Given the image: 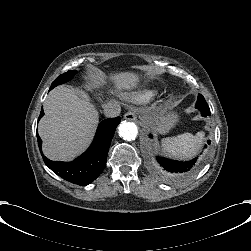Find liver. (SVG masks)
<instances>
[{
    "mask_svg": "<svg viewBox=\"0 0 251 251\" xmlns=\"http://www.w3.org/2000/svg\"><path fill=\"white\" fill-rule=\"evenodd\" d=\"M104 78L117 95L132 92L143 83L142 73L136 70L107 72ZM101 82L100 71L86 79L89 88L100 87ZM78 92L76 87L58 85L44 101L45 115L39 120L38 134L43 154L52 161H73L90 147L95 137L99 111L86 97L78 96Z\"/></svg>",
    "mask_w": 251,
    "mask_h": 251,
    "instance_id": "6515ba94",
    "label": "liver"
}]
</instances>
